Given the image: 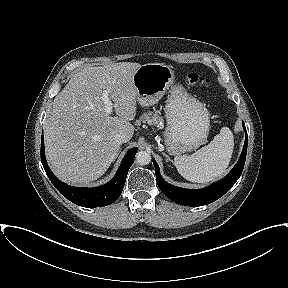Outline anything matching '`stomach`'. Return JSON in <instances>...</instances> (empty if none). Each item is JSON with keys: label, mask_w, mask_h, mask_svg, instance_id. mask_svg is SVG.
I'll list each match as a JSON object with an SVG mask.
<instances>
[{"label": "stomach", "mask_w": 288, "mask_h": 288, "mask_svg": "<svg viewBox=\"0 0 288 288\" xmlns=\"http://www.w3.org/2000/svg\"><path fill=\"white\" fill-rule=\"evenodd\" d=\"M136 99L141 106L157 103L169 90L165 106L164 140L171 155L190 152L203 145L210 131L209 112L199 100L175 84L172 68L164 63L141 65L133 74Z\"/></svg>", "instance_id": "obj_1"}]
</instances>
